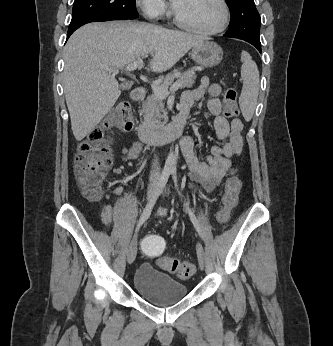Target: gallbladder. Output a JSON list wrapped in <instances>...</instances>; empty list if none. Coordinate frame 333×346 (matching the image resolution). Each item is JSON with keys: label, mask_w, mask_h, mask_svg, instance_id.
<instances>
[{"label": "gallbladder", "mask_w": 333, "mask_h": 346, "mask_svg": "<svg viewBox=\"0 0 333 346\" xmlns=\"http://www.w3.org/2000/svg\"><path fill=\"white\" fill-rule=\"evenodd\" d=\"M131 86H132V83L129 82V81L124 82V83L121 84V88H122L123 90H129V89L131 88Z\"/></svg>", "instance_id": "gallbladder-1"}]
</instances>
